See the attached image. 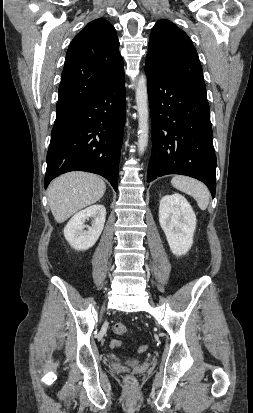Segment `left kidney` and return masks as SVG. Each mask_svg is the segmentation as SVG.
<instances>
[{"label":"left kidney","instance_id":"obj_1","mask_svg":"<svg viewBox=\"0 0 253 413\" xmlns=\"http://www.w3.org/2000/svg\"><path fill=\"white\" fill-rule=\"evenodd\" d=\"M159 223L170 250L176 256L185 255L193 244L196 215L180 194L165 195L160 200Z\"/></svg>","mask_w":253,"mask_h":413}]
</instances>
